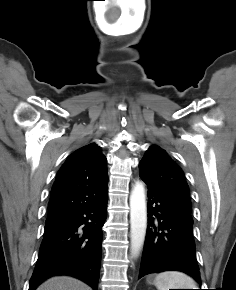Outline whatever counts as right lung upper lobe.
<instances>
[{"label": "right lung upper lobe", "instance_id": "right-lung-upper-lobe-1", "mask_svg": "<svg viewBox=\"0 0 236 290\" xmlns=\"http://www.w3.org/2000/svg\"><path fill=\"white\" fill-rule=\"evenodd\" d=\"M107 160L91 143L71 154L57 173L48 203L47 222L57 223L107 193Z\"/></svg>", "mask_w": 236, "mask_h": 290}]
</instances>
